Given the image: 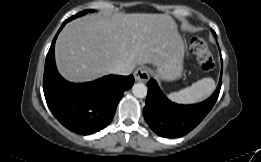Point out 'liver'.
Segmentation results:
<instances>
[{
  "mask_svg": "<svg viewBox=\"0 0 261 162\" xmlns=\"http://www.w3.org/2000/svg\"><path fill=\"white\" fill-rule=\"evenodd\" d=\"M168 14H93L67 24L55 45L56 64L71 82L112 73L117 65L158 66L180 39Z\"/></svg>",
  "mask_w": 261,
  "mask_h": 162,
  "instance_id": "6515ba94",
  "label": "liver"
}]
</instances>
